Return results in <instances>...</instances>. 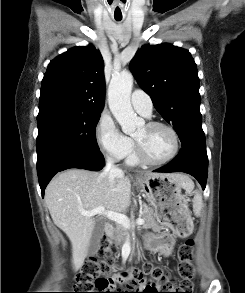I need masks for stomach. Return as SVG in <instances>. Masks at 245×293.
<instances>
[{
    "instance_id": "0dacf381",
    "label": "stomach",
    "mask_w": 245,
    "mask_h": 293,
    "mask_svg": "<svg viewBox=\"0 0 245 293\" xmlns=\"http://www.w3.org/2000/svg\"><path fill=\"white\" fill-rule=\"evenodd\" d=\"M142 191L148 202L153 206L157 221L178 233H190L191 216L188 202L182 195V186L170 176H145L138 178ZM190 225L187 230L181 227ZM145 247L153 252L162 247L161 237L158 234H149L145 240Z\"/></svg>"
}]
</instances>
